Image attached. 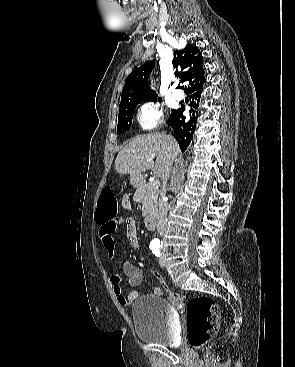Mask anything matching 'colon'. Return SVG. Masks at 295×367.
Instances as JSON below:
<instances>
[{"mask_svg":"<svg viewBox=\"0 0 295 367\" xmlns=\"http://www.w3.org/2000/svg\"><path fill=\"white\" fill-rule=\"evenodd\" d=\"M117 201L111 188L101 191L96 220L99 223L113 221L117 215ZM160 283L166 287L163 278L155 273ZM187 339L191 347L199 349L204 346L218 331L220 313L218 304L208 296H193L186 306Z\"/></svg>","mask_w":295,"mask_h":367,"instance_id":"5ec220e1","label":"colon"}]
</instances>
